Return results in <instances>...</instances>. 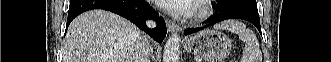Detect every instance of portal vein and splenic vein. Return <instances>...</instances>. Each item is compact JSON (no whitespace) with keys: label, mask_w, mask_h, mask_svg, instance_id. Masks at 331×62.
I'll return each mask as SVG.
<instances>
[{"label":"portal vein and splenic vein","mask_w":331,"mask_h":62,"mask_svg":"<svg viewBox=\"0 0 331 62\" xmlns=\"http://www.w3.org/2000/svg\"><path fill=\"white\" fill-rule=\"evenodd\" d=\"M197 62H201V60L198 59Z\"/></svg>","instance_id":"18ae733b"}]
</instances>
